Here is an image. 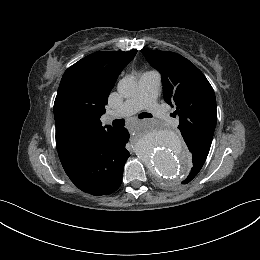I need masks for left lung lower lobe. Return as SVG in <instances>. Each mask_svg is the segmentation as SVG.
<instances>
[{"label":"left lung lower lobe","mask_w":260,"mask_h":260,"mask_svg":"<svg viewBox=\"0 0 260 260\" xmlns=\"http://www.w3.org/2000/svg\"><path fill=\"white\" fill-rule=\"evenodd\" d=\"M189 150L192 153L193 167H192L191 172L188 175V177L184 181H182V184L189 183L198 174V172L201 170L199 168L200 167L199 163L201 161L200 159L206 160V158H207V156H206V158H204L205 154L196 147H190Z\"/></svg>","instance_id":"left-lung-lower-lobe-1"}]
</instances>
